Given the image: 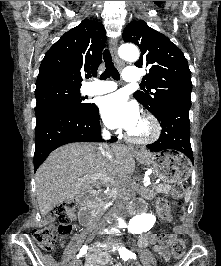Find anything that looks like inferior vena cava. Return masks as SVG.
<instances>
[{
    "label": "inferior vena cava",
    "instance_id": "1",
    "mask_svg": "<svg viewBox=\"0 0 221 266\" xmlns=\"http://www.w3.org/2000/svg\"><path fill=\"white\" fill-rule=\"evenodd\" d=\"M103 137L105 139H108L110 137L109 131L104 130L103 131ZM112 147H114V146H112ZM112 147H109L108 145H103V146L101 145L100 146L101 153L103 154V156H105L109 160H112L113 159V151L111 149ZM125 186H126L125 178H118L117 179V189H118V192H123L124 189H125ZM99 223H100V225H105L106 224L105 220H101Z\"/></svg>",
    "mask_w": 221,
    "mask_h": 266
}]
</instances>
